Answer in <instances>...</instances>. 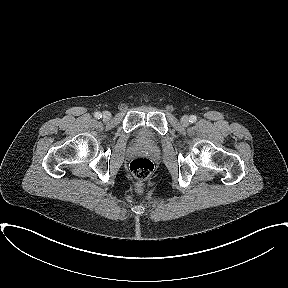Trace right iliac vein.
<instances>
[{
    "mask_svg": "<svg viewBox=\"0 0 288 288\" xmlns=\"http://www.w3.org/2000/svg\"><path fill=\"white\" fill-rule=\"evenodd\" d=\"M110 118H111V113L108 111H105L103 113V120L108 121V120H110Z\"/></svg>",
    "mask_w": 288,
    "mask_h": 288,
    "instance_id": "63e3f726",
    "label": "right iliac vein"
}]
</instances>
